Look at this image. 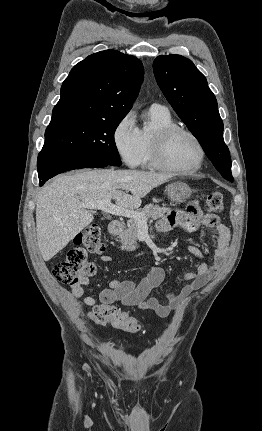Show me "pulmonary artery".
<instances>
[{
	"instance_id": "pulmonary-artery-1",
	"label": "pulmonary artery",
	"mask_w": 262,
	"mask_h": 431,
	"mask_svg": "<svg viewBox=\"0 0 262 431\" xmlns=\"http://www.w3.org/2000/svg\"><path fill=\"white\" fill-rule=\"evenodd\" d=\"M150 109H152V110H157V111H162V112H168V109H167V107H166V106L161 105V104H158V103H153V104L150 106Z\"/></svg>"
}]
</instances>
